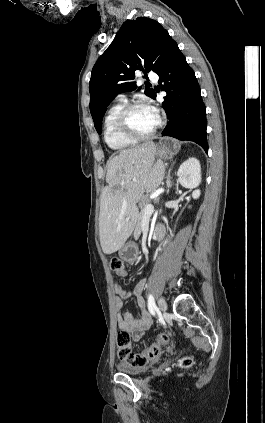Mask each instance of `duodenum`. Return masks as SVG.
<instances>
[{"label": "duodenum", "mask_w": 265, "mask_h": 423, "mask_svg": "<svg viewBox=\"0 0 265 423\" xmlns=\"http://www.w3.org/2000/svg\"><path fill=\"white\" fill-rule=\"evenodd\" d=\"M165 235H166L165 227H158L155 229V238L157 243L162 241Z\"/></svg>", "instance_id": "obj_1"}]
</instances>
